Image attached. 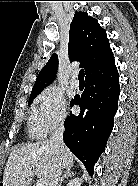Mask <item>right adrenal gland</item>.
<instances>
[{
    "label": "right adrenal gland",
    "mask_w": 138,
    "mask_h": 186,
    "mask_svg": "<svg viewBox=\"0 0 138 186\" xmlns=\"http://www.w3.org/2000/svg\"><path fill=\"white\" fill-rule=\"evenodd\" d=\"M72 168H73V166H68V167L66 168V171H65L63 177L61 178L60 183H59L58 186H61V185H62V183H63V181H64L65 178H67V177H72V176L75 174V173L72 171Z\"/></svg>",
    "instance_id": "2a0ac1e0"
}]
</instances>
